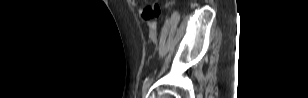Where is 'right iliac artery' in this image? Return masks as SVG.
Listing matches in <instances>:
<instances>
[{"instance_id":"right-iliac-artery-1","label":"right iliac artery","mask_w":308,"mask_h":98,"mask_svg":"<svg viewBox=\"0 0 308 98\" xmlns=\"http://www.w3.org/2000/svg\"><path fill=\"white\" fill-rule=\"evenodd\" d=\"M150 83L149 79H146L143 84V89Z\"/></svg>"}]
</instances>
